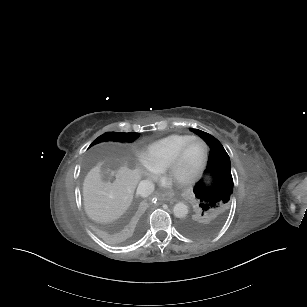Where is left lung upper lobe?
I'll use <instances>...</instances> for the list:
<instances>
[{
    "label": "left lung upper lobe",
    "instance_id": "left-lung-upper-lobe-1",
    "mask_svg": "<svg viewBox=\"0 0 307 307\" xmlns=\"http://www.w3.org/2000/svg\"><path fill=\"white\" fill-rule=\"evenodd\" d=\"M209 146L210 154L206 174L211 178L201 179L194 187L197 198V214L184 220L181 229L192 236H207L222 225L233 194V178L230 158L222 144L212 135L198 129H191Z\"/></svg>",
    "mask_w": 307,
    "mask_h": 307
}]
</instances>
